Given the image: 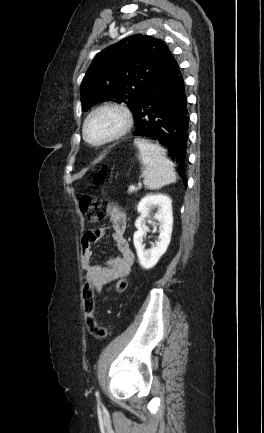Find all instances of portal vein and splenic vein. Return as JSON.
<instances>
[{
    "label": "portal vein and splenic vein",
    "mask_w": 264,
    "mask_h": 433,
    "mask_svg": "<svg viewBox=\"0 0 264 433\" xmlns=\"http://www.w3.org/2000/svg\"><path fill=\"white\" fill-rule=\"evenodd\" d=\"M136 190V187L135 186H129V188H128V192L129 193H132V192H134Z\"/></svg>",
    "instance_id": "18ae733b"
}]
</instances>
